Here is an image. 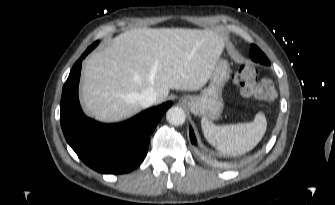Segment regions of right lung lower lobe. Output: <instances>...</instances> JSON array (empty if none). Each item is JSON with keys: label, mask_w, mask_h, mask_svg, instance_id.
Segmentation results:
<instances>
[{"label": "right lung lower lobe", "mask_w": 335, "mask_h": 205, "mask_svg": "<svg viewBox=\"0 0 335 205\" xmlns=\"http://www.w3.org/2000/svg\"><path fill=\"white\" fill-rule=\"evenodd\" d=\"M90 47L74 64L63 86L60 122L64 136L78 157L90 168L107 174L127 173L145 158L149 136L171 106L166 102L114 125L87 118L78 99L81 62Z\"/></svg>", "instance_id": "right-lung-lower-lobe-1"}]
</instances>
